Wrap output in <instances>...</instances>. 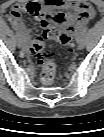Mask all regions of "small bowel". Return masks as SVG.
Listing matches in <instances>:
<instances>
[{
  "mask_svg": "<svg viewBox=\"0 0 104 137\" xmlns=\"http://www.w3.org/2000/svg\"><path fill=\"white\" fill-rule=\"evenodd\" d=\"M33 15L44 25L46 20L61 24L77 36L95 15V9L88 3L75 0L31 1L23 5H13L9 20L26 43V52L30 53V31L26 27L22 13ZM33 57V56H32Z\"/></svg>",
  "mask_w": 104,
  "mask_h": 137,
  "instance_id": "obj_1",
  "label": "small bowel"
}]
</instances>
